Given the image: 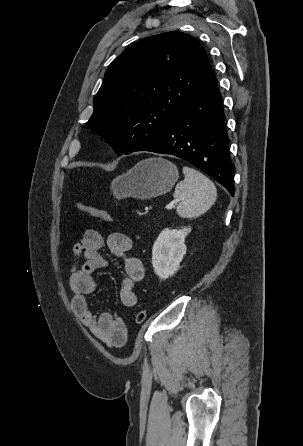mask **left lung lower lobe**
Here are the masks:
<instances>
[{"label":"left lung lower lobe","mask_w":303,"mask_h":446,"mask_svg":"<svg viewBox=\"0 0 303 446\" xmlns=\"http://www.w3.org/2000/svg\"><path fill=\"white\" fill-rule=\"evenodd\" d=\"M222 96L214 78L194 94L173 124L135 151L171 154L195 165L234 194Z\"/></svg>","instance_id":"1"}]
</instances>
